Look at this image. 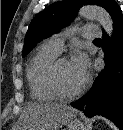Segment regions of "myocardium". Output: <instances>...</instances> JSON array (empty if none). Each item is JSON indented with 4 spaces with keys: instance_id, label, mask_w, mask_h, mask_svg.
I'll use <instances>...</instances> for the list:
<instances>
[{
    "instance_id": "1",
    "label": "myocardium",
    "mask_w": 123,
    "mask_h": 130,
    "mask_svg": "<svg viewBox=\"0 0 123 130\" xmlns=\"http://www.w3.org/2000/svg\"><path fill=\"white\" fill-rule=\"evenodd\" d=\"M63 60H67V59L65 57H58L52 63L51 69H50V82H51V86H52L54 92L56 93V95L58 96V98L68 100V99H73V98L79 96L87 87L88 81L85 80L83 82V84L74 91L65 90L62 87L59 77H58V66H59V63Z\"/></svg>"
}]
</instances>
